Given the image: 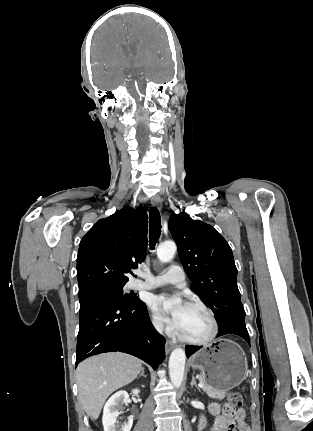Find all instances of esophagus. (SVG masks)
<instances>
[{"label":"esophagus","instance_id":"esophagus-1","mask_svg":"<svg viewBox=\"0 0 313 431\" xmlns=\"http://www.w3.org/2000/svg\"><path fill=\"white\" fill-rule=\"evenodd\" d=\"M151 204L154 207H161V198L159 196L152 197ZM175 346L176 344L173 341H170V340L166 341L165 348L167 351H171Z\"/></svg>","mask_w":313,"mask_h":431}]
</instances>
